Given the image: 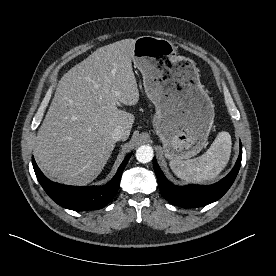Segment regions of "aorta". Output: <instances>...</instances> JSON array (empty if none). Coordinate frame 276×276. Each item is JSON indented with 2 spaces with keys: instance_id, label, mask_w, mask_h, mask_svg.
Here are the masks:
<instances>
[{
  "instance_id": "762f6f07",
  "label": "aorta",
  "mask_w": 276,
  "mask_h": 276,
  "mask_svg": "<svg viewBox=\"0 0 276 276\" xmlns=\"http://www.w3.org/2000/svg\"><path fill=\"white\" fill-rule=\"evenodd\" d=\"M153 158V149L149 145H142L136 151V159L140 163H148Z\"/></svg>"
}]
</instances>
